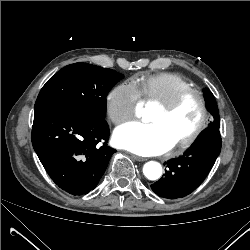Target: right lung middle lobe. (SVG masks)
I'll return each mask as SVG.
<instances>
[{"label":"right lung middle lobe","instance_id":"right-lung-middle-lobe-1","mask_svg":"<svg viewBox=\"0 0 250 250\" xmlns=\"http://www.w3.org/2000/svg\"><path fill=\"white\" fill-rule=\"evenodd\" d=\"M123 77L112 69L87 63L68 65L43 86L35 110L62 108L104 119L107 94Z\"/></svg>","mask_w":250,"mask_h":250}]
</instances>
